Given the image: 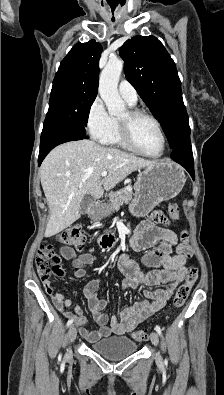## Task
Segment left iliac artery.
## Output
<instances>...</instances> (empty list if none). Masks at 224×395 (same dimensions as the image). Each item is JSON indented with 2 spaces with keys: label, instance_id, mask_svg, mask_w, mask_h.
<instances>
[{
  "label": "left iliac artery",
  "instance_id": "obj_1",
  "mask_svg": "<svg viewBox=\"0 0 224 395\" xmlns=\"http://www.w3.org/2000/svg\"><path fill=\"white\" fill-rule=\"evenodd\" d=\"M155 330H156V332L161 336L162 332H161V328H160L159 325H156V326H155Z\"/></svg>",
  "mask_w": 224,
  "mask_h": 395
}]
</instances>
